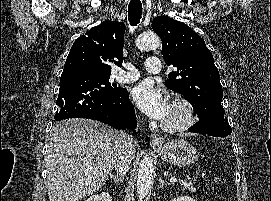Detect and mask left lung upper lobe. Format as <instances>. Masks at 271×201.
<instances>
[{
  "mask_svg": "<svg viewBox=\"0 0 271 201\" xmlns=\"http://www.w3.org/2000/svg\"><path fill=\"white\" fill-rule=\"evenodd\" d=\"M152 28L162 40L165 63L177 68L169 73L166 86L186 96L199 116L192 127L210 136L230 135L232 129L221 105L220 75L205 41L189 26L168 16L155 17Z\"/></svg>",
  "mask_w": 271,
  "mask_h": 201,
  "instance_id": "5c2ea615",
  "label": "left lung upper lobe"
}]
</instances>
